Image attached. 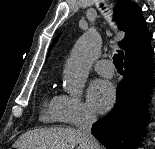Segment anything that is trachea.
Instances as JSON below:
<instances>
[{
  "label": "trachea",
  "instance_id": "1",
  "mask_svg": "<svg viewBox=\"0 0 155 149\" xmlns=\"http://www.w3.org/2000/svg\"><path fill=\"white\" fill-rule=\"evenodd\" d=\"M123 57H124V53L122 51H118V53L115 54L113 57V63L117 70H123V66H122Z\"/></svg>",
  "mask_w": 155,
  "mask_h": 149
}]
</instances>
